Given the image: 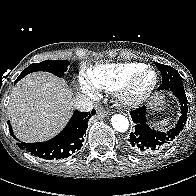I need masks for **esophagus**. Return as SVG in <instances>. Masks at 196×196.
Returning a JSON list of instances; mask_svg holds the SVG:
<instances>
[{
  "instance_id": "1",
  "label": "esophagus",
  "mask_w": 196,
  "mask_h": 196,
  "mask_svg": "<svg viewBox=\"0 0 196 196\" xmlns=\"http://www.w3.org/2000/svg\"><path fill=\"white\" fill-rule=\"evenodd\" d=\"M109 115H110V111L109 110H107L105 108H102V107H99L97 109V117L99 119H103V118H105V117H107Z\"/></svg>"
}]
</instances>
